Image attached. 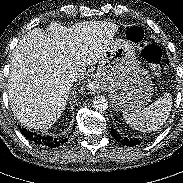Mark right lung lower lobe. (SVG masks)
I'll return each mask as SVG.
<instances>
[{
  "label": "right lung lower lobe",
  "instance_id": "98d812e1",
  "mask_svg": "<svg viewBox=\"0 0 183 183\" xmlns=\"http://www.w3.org/2000/svg\"><path fill=\"white\" fill-rule=\"evenodd\" d=\"M20 131L31 142L48 148H57L63 146L69 139L68 137L53 138L50 136H41L25 128H20Z\"/></svg>",
  "mask_w": 183,
  "mask_h": 183
}]
</instances>
